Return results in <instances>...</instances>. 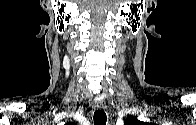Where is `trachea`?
<instances>
[{"label":"trachea","instance_id":"1","mask_svg":"<svg viewBox=\"0 0 196 125\" xmlns=\"http://www.w3.org/2000/svg\"><path fill=\"white\" fill-rule=\"evenodd\" d=\"M107 116L105 112L101 110H96L94 113V125H106Z\"/></svg>","mask_w":196,"mask_h":125}]
</instances>
